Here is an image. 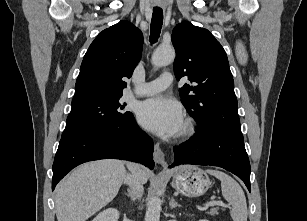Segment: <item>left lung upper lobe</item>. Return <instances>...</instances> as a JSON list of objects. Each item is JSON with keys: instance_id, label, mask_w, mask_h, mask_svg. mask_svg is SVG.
Here are the masks:
<instances>
[{"instance_id": "obj_1", "label": "left lung upper lobe", "mask_w": 307, "mask_h": 221, "mask_svg": "<svg viewBox=\"0 0 307 221\" xmlns=\"http://www.w3.org/2000/svg\"><path fill=\"white\" fill-rule=\"evenodd\" d=\"M174 73L192 85L180 89L187 111L200 132L221 131L243 140L234 81L225 50L204 28L182 22L173 29Z\"/></svg>"}]
</instances>
